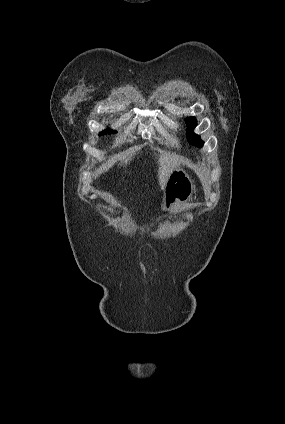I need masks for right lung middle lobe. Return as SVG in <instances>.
Returning <instances> with one entry per match:
<instances>
[{
	"label": "right lung middle lobe",
	"instance_id": "right-lung-middle-lobe-1",
	"mask_svg": "<svg viewBox=\"0 0 285 424\" xmlns=\"http://www.w3.org/2000/svg\"><path fill=\"white\" fill-rule=\"evenodd\" d=\"M111 133H116L115 131H113V130H110V129H106V130H104L103 132H101L100 133V135H103V134H111Z\"/></svg>",
	"mask_w": 285,
	"mask_h": 424
}]
</instances>
